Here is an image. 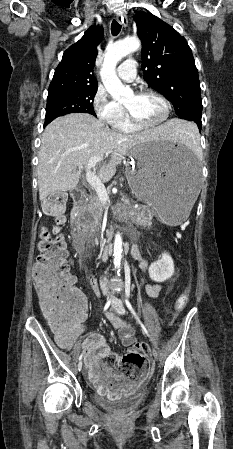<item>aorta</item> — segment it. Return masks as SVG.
Segmentation results:
<instances>
[{
  "instance_id": "obj_1",
  "label": "aorta",
  "mask_w": 233,
  "mask_h": 449,
  "mask_svg": "<svg viewBox=\"0 0 233 449\" xmlns=\"http://www.w3.org/2000/svg\"><path fill=\"white\" fill-rule=\"evenodd\" d=\"M141 46L140 41L136 37L126 38L118 41L108 47L104 62L100 71V76L103 85L108 93L115 100H121L124 97L132 95V90L128 86H124L117 77L115 68L117 63L128 54L137 51ZM122 236L120 233L115 235L114 240V265L120 271L122 259Z\"/></svg>"
}]
</instances>
